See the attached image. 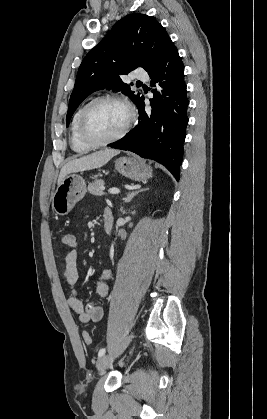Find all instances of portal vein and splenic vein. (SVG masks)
Returning a JSON list of instances; mask_svg holds the SVG:
<instances>
[{
	"label": "portal vein and splenic vein",
	"instance_id": "obj_1",
	"mask_svg": "<svg viewBox=\"0 0 267 419\" xmlns=\"http://www.w3.org/2000/svg\"><path fill=\"white\" fill-rule=\"evenodd\" d=\"M120 192V190L119 189H117V188H110L109 190H108V193L109 194H118Z\"/></svg>",
	"mask_w": 267,
	"mask_h": 419
}]
</instances>
